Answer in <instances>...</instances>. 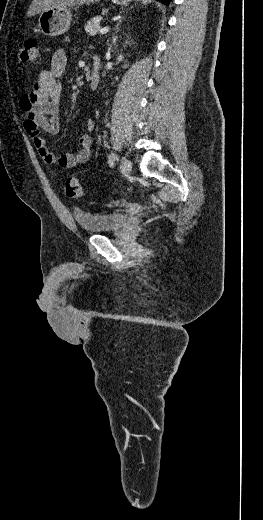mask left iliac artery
I'll list each match as a JSON object with an SVG mask.
<instances>
[{
	"label": "left iliac artery",
	"instance_id": "1",
	"mask_svg": "<svg viewBox=\"0 0 263 520\" xmlns=\"http://www.w3.org/2000/svg\"><path fill=\"white\" fill-rule=\"evenodd\" d=\"M114 160H115V157L113 154H109L108 155V164L110 167H113L114 166Z\"/></svg>",
	"mask_w": 263,
	"mask_h": 520
}]
</instances>
